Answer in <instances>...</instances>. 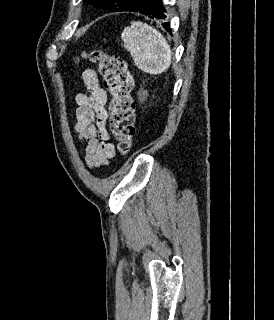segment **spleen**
I'll list each match as a JSON object with an SVG mask.
<instances>
[{
	"instance_id": "3e777b00",
	"label": "spleen",
	"mask_w": 274,
	"mask_h": 320,
	"mask_svg": "<svg viewBox=\"0 0 274 320\" xmlns=\"http://www.w3.org/2000/svg\"><path fill=\"white\" fill-rule=\"evenodd\" d=\"M121 40L138 70L153 76L168 70L172 56L170 46L152 26L131 22L129 28H124Z\"/></svg>"
}]
</instances>
